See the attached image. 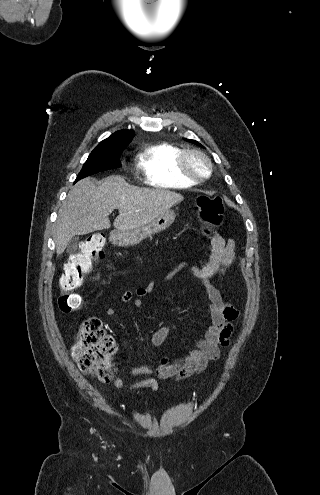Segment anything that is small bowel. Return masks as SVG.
<instances>
[{
	"instance_id": "obj_1",
	"label": "small bowel",
	"mask_w": 320,
	"mask_h": 495,
	"mask_svg": "<svg viewBox=\"0 0 320 495\" xmlns=\"http://www.w3.org/2000/svg\"><path fill=\"white\" fill-rule=\"evenodd\" d=\"M211 253L208 262L202 266H195L183 262L169 272L166 280L173 278L182 270H189L196 277L204 289L209 302L210 324L203 336L194 341V347L188 350L187 354L176 362L171 363L168 357H162L157 365L152 368L147 365L136 366L131 370L132 375L156 376L159 379H186L196 373L202 372L209 362L215 361L220 356V348L230 345V339L234 333V321L238 318L239 312L236 308L228 304L221 296L219 290L213 285L212 278L223 273L233 266L236 258L235 241L225 239L219 232L211 227ZM156 289L154 282L138 288L135 293L125 291L121 300L124 303L132 302L137 308L144 306V298ZM109 317L117 314V309L109 307L106 310ZM176 329L175 325H166L153 332L149 339L150 347L162 345L168 336ZM150 360L156 362L154 354L150 355ZM114 385L118 389L128 387L130 390L148 388L155 392L158 390V382L153 377L136 381L126 386L120 377L114 379Z\"/></svg>"
}]
</instances>
